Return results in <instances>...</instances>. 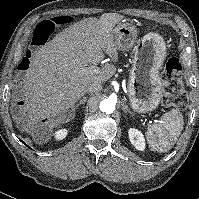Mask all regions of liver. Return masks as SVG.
Listing matches in <instances>:
<instances>
[{
    "label": "liver",
    "instance_id": "obj_1",
    "mask_svg": "<svg viewBox=\"0 0 199 199\" xmlns=\"http://www.w3.org/2000/svg\"><path fill=\"white\" fill-rule=\"evenodd\" d=\"M123 18L117 13L86 18L35 52L14 92L25 101L21 115L14 116L21 129L33 134L39 129L48 139L54 127L74 117L73 107L88 86L94 82L103 84L115 74L112 64L102 65L96 73L90 71V66L100 62L105 54L114 63L118 61L114 27ZM46 118L47 124L41 125ZM34 137L37 139L38 135Z\"/></svg>",
    "mask_w": 199,
    "mask_h": 199
}]
</instances>
